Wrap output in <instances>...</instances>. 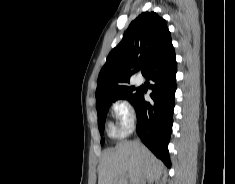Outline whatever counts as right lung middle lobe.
I'll return each mask as SVG.
<instances>
[{
  "instance_id": "dd1d6c3e",
  "label": "right lung middle lobe",
  "mask_w": 235,
  "mask_h": 184,
  "mask_svg": "<svg viewBox=\"0 0 235 184\" xmlns=\"http://www.w3.org/2000/svg\"><path fill=\"white\" fill-rule=\"evenodd\" d=\"M139 92H140L139 89H136L134 86H129V85L114 88L111 91V96H112L111 103L96 107L98 113V127L101 134L104 132L105 114L109 106L112 104V102L118 99H127L129 102L133 103L134 100L137 98ZM103 144H104V139H101V145Z\"/></svg>"
}]
</instances>
